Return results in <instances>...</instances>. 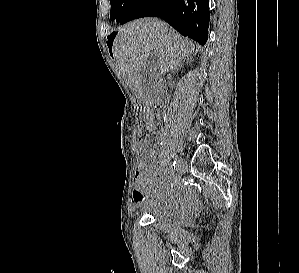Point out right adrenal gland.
Segmentation results:
<instances>
[{
    "label": "right adrenal gland",
    "mask_w": 299,
    "mask_h": 273,
    "mask_svg": "<svg viewBox=\"0 0 299 273\" xmlns=\"http://www.w3.org/2000/svg\"><path fill=\"white\" fill-rule=\"evenodd\" d=\"M187 61H189V58H187L186 59ZM182 65V62L179 64V66L178 67H180ZM178 67L177 68H175V70H177L178 69Z\"/></svg>",
    "instance_id": "obj_1"
}]
</instances>
